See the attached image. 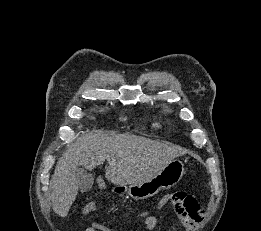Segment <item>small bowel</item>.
I'll return each mask as SVG.
<instances>
[{
  "label": "small bowel",
  "mask_w": 261,
  "mask_h": 231,
  "mask_svg": "<svg viewBox=\"0 0 261 231\" xmlns=\"http://www.w3.org/2000/svg\"><path fill=\"white\" fill-rule=\"evenodd\" d=\"M98 209V202L94 199H91L86 202L83 208V214L89 215L94 213ZM185 231H199L201 224L195 221L184 222L182 221ZM144 224L147 230L153 231L157 229L158 220L157 217L151 214H146ZM85 231H113L107 225L101 223H92Z\"/></svg>",
  "instance_id": "c3829d8e"
}]
</instances>
